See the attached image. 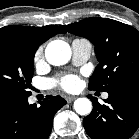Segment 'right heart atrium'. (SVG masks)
<instances>
[{"label": "right heart atrium", "instance_id": "d8ad5b80", "mask_svg": "<svg viewBox=\"0 0 139 139\" xmlns=\"http://www.w3.org/2000/svg\"><path fill=\"white\" fill-rule=\"evenodd\" d=\"M43 54L42 48H39L35 53V61L39 62Z\"/></svg>", "mask_w": 139, "mask_h": 139}]
</instances>
